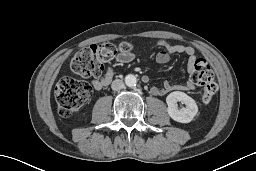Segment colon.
<instances>
[{
	"mask_svg": "<svg viewBox=\"0 0 256 171\" xmlns=\"http://www.w3.org/2000/svg\"><path fill=\"white\" fill-rule=\"evenodd\" d=\"M131 45L128 42L119 44L105 43L82 48L72 58L70 67L73 72L84 77L99 76L104 64L112 61L120 54L129 53ZM191 80L202 87L201 100L211 102L217 92L214 73L209 64L196 60L191 74ZM92 90L88 83L64 77L55 87L56 103L62 116H70L77 112L91 97Z\"/></svg>",
	"mask_w": 256,
	"mask_h": 171,
	"instance_id": "colon-1",
	"label": "colon"
}]
</instances>
